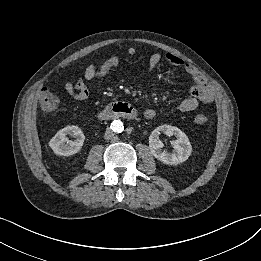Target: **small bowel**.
Returning <instances> with one entry per match:
<instances>
[{
    "label": "small bowel",
    "instance_id": "obj_1",
    "mask_svg": "<svg viewBox=\"0 0 261 261\" xmlns=\"http://www.w3.org/2000/svg\"><path fill=\"white\" fill-rule=\"evenodd\" d=\"M128 56H134L136 54L135 48H129L127 51ZM162 59L161 54L154 53L149 58L148 65V76L152 77L158 64ZM165 59L174 65H182L183 61L168 53L165 55ZM120 64V59L118 57H111L104 61L100 65L89 64L84 72V78L82 80L77 81L75 84L66 83L64 88L67 94L74 100L82 101L88 98L89 91L86 85V82H92L106 74H108L113 68L117 67ZM186 73L192 78L195 83H198L204 80L206 77L203 72L198 69L196 66L191 64L184 65ZM214 98V89L212 85L208 82V84L203 87L197 95L190 94L187 98H185L181 104L179 105V110L181 112H189L196 109L199 104H207L211 103ZM144 116L147 119H151L155 116V111L152 109L146 110L144 112Z\"/></svg>",
    "mask_w": 261,
    "mask_h": 261
}]
</instances>
